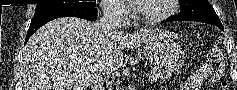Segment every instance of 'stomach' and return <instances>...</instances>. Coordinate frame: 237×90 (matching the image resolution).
Segmentation results:
<instances>
[{
    "label": "stomach",
    "instance_id": "obj_1",
    "mask_svg": "<svg viewBox=\"0 0 237 90\" xmlns=\"http://www.w3.org/2000/svg\"><path fill=\"white\" fill-rule=\"evenodd\" d=\"M144 55L147 59L159 66L174 64L181 56V47L166 37L155 35L143 43Z\"/></svg>",
    "mask_w": 237,
    "mask_h": 90
}]
</instances>
